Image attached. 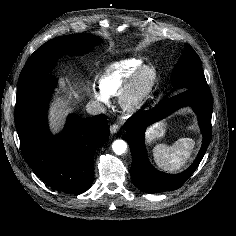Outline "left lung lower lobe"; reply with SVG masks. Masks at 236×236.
<instances>
[{"mask_svg": "<svg viewBox=\"0 0 236 236\" xmlns=\"http://www.w3.org/2000/svg\"><path fill=\"white\" fill-rule=\"evenodd\" d=\"M187 105L191 106L198 115L203 134L202 147L193 164L182 173L171 175L160 172L148 160L144 143L145 129L151 122L161 120ZM212 110V94L209 86H204L185 89L159 106L127 120L124 128L128 132L127 140L132 154L130 174L134 185L146 193H159L180 188L197 169L209 146L212 136Z\"/></svg>", "mask_w": 236, "mask_h": 236, "instance_id": "1", "label": "left lung lower lobe"}]
</instances>
